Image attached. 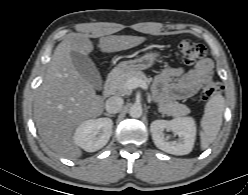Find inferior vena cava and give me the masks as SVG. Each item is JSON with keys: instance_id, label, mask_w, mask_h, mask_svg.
Masks as SVG:
<instances>
[{"instance_id": "1", "label": "inferior vena cava", "mask_w": 248, "mask_h": 195, "mask_svg": "<svg viewBox=\"0 0 248 195\" xmlns=\"http://www.w3.org/2000/svg\"><path fill=\"white\" fill-rule=\"evenodd\" d=\"M124 104V100L118 96H112L106 100L105 109L108 113H118Z\"/></svg>"}]
</instances>
